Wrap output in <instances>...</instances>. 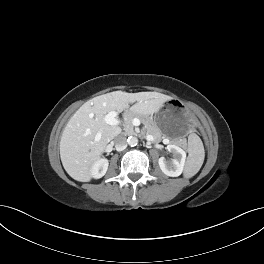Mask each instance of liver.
<instances>
[{
  "label": "liver",
  "mask_w": 264,
  "mask_h": 264,
  "mask_svg": "<svg viewBox=\"0 0 264 264\" xmlns=\"http://www.w3.org/2000/svg\"><path fill=\"white\" fill-rule=\"evenodd\" d=\"M170 97L157 92L127 93L115 91L84 103L70 118L60 140V157L65 171L75 180L89 182L92 166L102 156L106 145L121 133V128L105 122L111 111L153 114ZM98 138V140H96Z\"/></svg>",
  "instance_id": "1"
}]
</instances>
